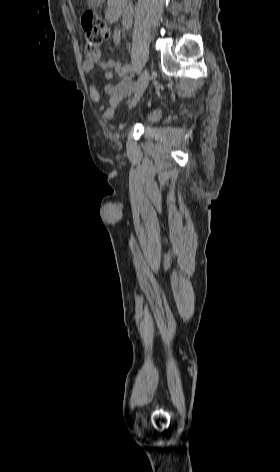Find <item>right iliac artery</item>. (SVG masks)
Instances as JSON below:
<instances>
[{"instance_id": "right-iliac-artery-1", "label": "right iliac artery", "mask_w": 280, "mask_h": 472, "mask_svg": "<svg viewBox=\"0 0 280 472\" xmlns=\"http://www.w3.org/2000/svg\"><path fill=\"white\" fill-rule=\"evenodd\" d=\"M120 41V31L116 30L114 34V42L118 44ZM133 72V67L131 65H125L122 68V74L123 75H131Z\"/></svg>"}]
</instances>
